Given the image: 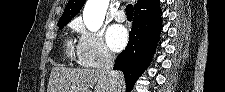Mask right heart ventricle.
I'll list each match as a JSON object with an SVG mask.
<instances>
[{"label": "right heart ventricle", "mask_w": 225, "mask_h": 92, "mask_svg": "<svg viewBox=\"0 0 225 92\" xmlns=\"http://www.w3.org/2000/svg\"><path fill=\"white\" fill-rule=\"evenodd\" d=\"M67 46H69V42H67Z\"/></svg>", "instance_id": "1"}]
</instances>
